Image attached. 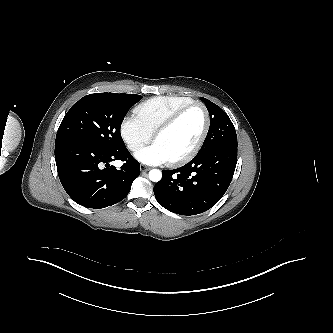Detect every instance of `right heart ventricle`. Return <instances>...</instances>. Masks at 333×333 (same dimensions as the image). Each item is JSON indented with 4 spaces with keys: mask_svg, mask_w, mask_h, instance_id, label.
Listing matches in <instances>:
<instances>
[{
    "mask_svg": "<svg viewBox=\"0 0 333 333\" xmlns=\"http://www.w3.org/2000/svg\"><path fill=\"white\" fill-rule=\"evenodd\" d=\"M192 102V98L185 96H156L140 103L135 108V114L143 125L154 133L170 115Z\"/></svg>",
    "mask_w": 333,
    "mask_h": 333,
    "instance_id": "e07e8e85",
    "label": "right heart ventricle"
}]
</instances>
